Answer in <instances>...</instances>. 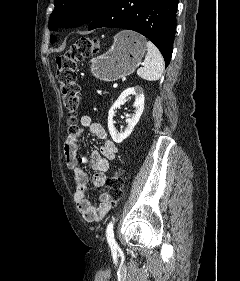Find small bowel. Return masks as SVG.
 Returning <instances> with one entry per match:
<instances>
[{"label": "small bowel", "mask_w": 240, "mask_h": 281, "mask_svg": "<svg viewBox=\"0 0 240 281\" xmlns=\"http://www.w3.org/2000/svg\"><path fill=\"white\" fill-rule=\"evenodd\" d=\"M80 125L76 133L66 139L64 154L67 167L73 173L76 183L75 203L86 221L98 222L105 217L111 208L109 195L104 191L103 187L106 172L110 168V162L116 157L117 146L109 139L105 128L101 124L94 122L91 116L83 115L80 119ZM84 129H89L102 141L100 149L94 150L89 158L80 153L78 148V140L83 135ZM80 163H89L95 172L92 184L99 190V202L97 204L92 203L86 194L88 175L81 168Z\"/></svg>", "instance_id": "1"}]
</instances>
